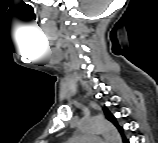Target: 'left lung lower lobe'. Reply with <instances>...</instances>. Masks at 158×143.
<instances>
[{
    "instance_id": "left-lung-lower-lobe-1",
    "label": "left lung lower lobe",
    "mask_w": 158,
    "mask_h": 143,
    "mask_svg": "<svg viewBox=\"0 0 158 143\" xmlns=\"http://www.w3.org/2000/svg\"><path fill=\"white\" fill-rule=\"evenodd\" d=\"M124 143H129L125 137H123Z\"/></svg>"
}]
</instances>
